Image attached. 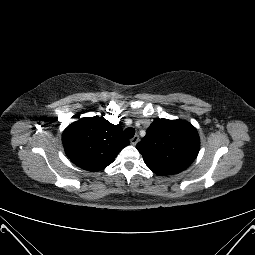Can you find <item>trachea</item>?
<instances>
[{"label":"trachea","instance_id":"1","mask_svg":"<svg viewBox=\"0 0 255 255\" xmlns=\"http://www.w3.org/2000/svg\"><path fill=\"white\" fill-rule=\"evenodd\" d=\"M123 135L125 138H128V139L133 138L135 135L134 128H126L123 132Z\"/></svg>","mask_w":255,"mask_h":255}]
</instances>
